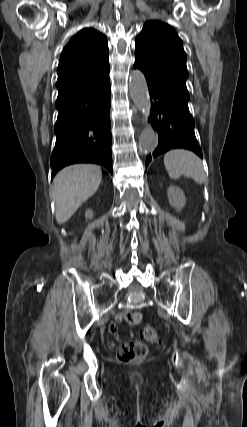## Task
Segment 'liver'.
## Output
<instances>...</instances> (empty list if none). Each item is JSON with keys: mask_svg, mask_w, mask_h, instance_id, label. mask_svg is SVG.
Returning <instances> with one entry per match:
<instances>
[{"mask_svg": "<svg viewBox=\"0 0 247 427\" xmlns=\"http://www.w3.org/2000/svg\"><path fill=\"white\" fill-rule=\"evenodd\" d=\"M101 179V168L93 164H75L58 172L53 180L52 199L59 224L67 222L97 191Z\"/></svg>", "mask_w": 247, "mask_h": 427, "instance_id": "1", "label": "liver"}]
</instances>
